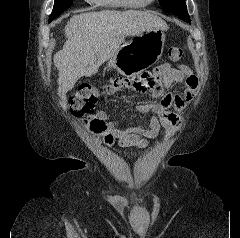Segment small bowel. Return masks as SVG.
Instances as JSON below:
<instances>
[{
	"mask_svg": "<svg viewBox=\"0 0 240 238\" xmlns=\"http://www.w3.org/2000/svg\"><path fill=\"white\" fill-rule=\"evenodd\" d=\"M185 83V87L179 94H165L157 104H139L136 109L141 114L152 112L153 115L148 119L147 124H135L132 126H119L117 120L112 115L100 110L94 114L95 118L104 120L106 123V132L116 139L119 146H135L146 148L148 139L156 138L161 129L167 135H171L180 125V115L189 102L197 87V77L192 69L186 65H179L177 68L165 63L147 75L137 80L115 79L107 87L105 94L113 95L124 88L134 92L150 93L153 97H159L163 90L172 83ZM174 108L175 111L170 109Z\"/></svg>",
	"mask_w": 240,
	"mask_h": 238,
	"instance_id": "obj_1",
	"label": "small bowel"
}]
</instances>
